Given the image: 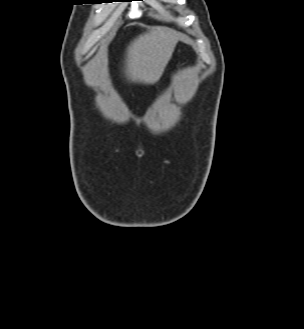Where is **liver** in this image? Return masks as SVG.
I'll list each match as a JSON object with an SVG mask.
<instances>
[{"label": "liver", "mask_w": 304, "mask_h": 329, "mask_svg": "<svg viewBox=\"0 0 304 329\" xmlns=\"http://www.w3.org/2000/svg\"><path fill=\"white\" fill-rule=\"evenodd\" d=\"M179 34L166 27H156L139 35L127 48L125 74L132 82L154 84L170 60Z\"/></svg>", "instance_id": "1"}]
</instances>
